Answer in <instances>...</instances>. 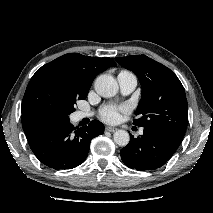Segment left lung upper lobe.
Here are the masks:
<instances>
[{
  "label": "left lung upper lobe",
  "mask_w": 213,
  "mask_h": 213,
  "mask_svg": "<svg viewBox=\"0 0 213 213\" xmlns=\"http://www.w3.org/2000/svg\"><path fill=\"white\" fill-rule=\"evenodd\" d=\"M123 67L139 78L142 97L133 124L172 131L184 137L188 104L185 90L172 70L145 55L116 57Z\"/></svg>",
  "instance_id": "5c2ea615"
}]
</instances>
